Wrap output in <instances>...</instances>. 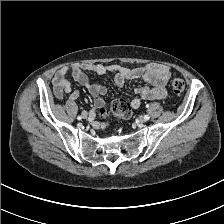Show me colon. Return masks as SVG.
Listing matches in <instances>:
<instances>
[{"mask_svg": "<svg viewBox=\"0 0 224 224\" xmlns=\"http://www.w3.org/2000/svg\"><path fill=\"white\" fill-rule=\"evenodd\" d=\"M170 83L173 92L176 94H181L185 89V82L179 77H173ZM99 114L102 118H107L109 115L113 114L122 119H128L131 116V109L126 101L116 99L111 103L109 109L101 107Z\"/></svg>", "mask_w": 224, "mask_h": 224, "instance_id": "obj_1", "label": "colon"}]
</instances>
